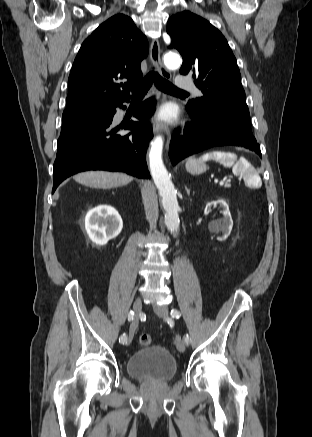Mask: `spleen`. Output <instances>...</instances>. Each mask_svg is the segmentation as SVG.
Listing matches in <instances>:
<instances>
[{
    "label": "spleen",
    "mask_w": 312,
    "mask_h": 437,
    "mask_svg": "<svg viewBox=\"0 0 312 437\" xmlns=\"http://www.w3.org/2000/svg\"><path fill=\"white\" fill-rule=\"evenodd\" d=\"M209 159L219 162L224 167H232L235 174L243 175L253 187L261 185L260 177L253 171L250 163L245 158L237 160L236 154L221 151L209 152L201 157L202 161H207Z\"/></svg>",
    "instance_id": "1"
}]
</instances>
